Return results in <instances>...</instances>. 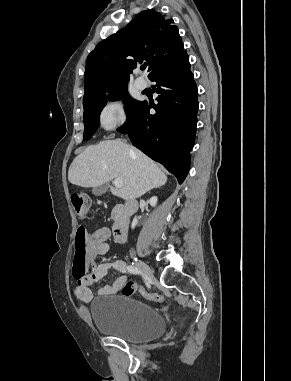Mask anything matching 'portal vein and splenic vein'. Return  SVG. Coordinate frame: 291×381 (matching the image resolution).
Here are the masks:
<instances>
[{
    "label": "portal vein and splenic vein",
    "instance_id": "obj_1",
    "mask_svg": "<svg viewBox=\"0 0 291 381\" xmlns=\"http://www.w3.org/2000/svg\"><path fill=\"white\" fill-rule=\"evenodd\" d=\"M113 184L115 185L116 188H121L123 186V180L116 178L114 179Z\"/></svg>",
    "mask_w": 291,
    "mask_h": 381
}]
</instances>
